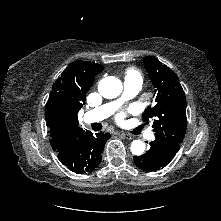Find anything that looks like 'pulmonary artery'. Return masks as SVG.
I'll return each mask as SVG.
<instances>
[{
  "instance_id": "pulmonary-artery-1",
  "label": "pulmonary artery",
  "mask_w": 221,
  "mask_h": 221,
  "mask_svg": "<svg viewBox=\"0 0 221 221\" xmlns=\"http://www.w3.org/2000/svg\"><path fill=\"white\" fill-rule=\"evenodd\" d=\"M142 78L140 76H126L124 79V93L120 100L104 104L98 108L88 111L84 119L87 123L99 122L109 117L118 105L125 99L135 96L142 88ZM147 138L152 139L153 133L148 132Z\"/></svg>"
}]
</instances>
